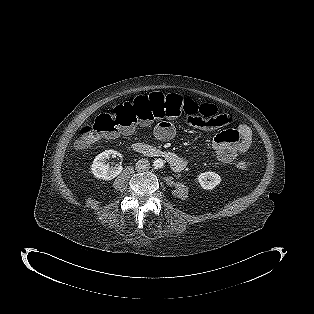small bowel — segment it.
<instances>
[{
    "label": "small bowel",
    "instance_id": "1",
    "mask_svg": "<svg viewBox=\"0 0 314 314\" xmlns=\"http://www.w3.org/2000/svg\"><path fill=\"white\" fill-rule=\"evenodd\" d=\"M192 124L201 130L223 129L213 140V150L223 163H232L235 158L246 154L251 148L250 128L245 124L234 126L235 118L230 113H217L216 111L211 118L193 119ZM129 132H125V134ZM153 133L159 140H169L175 136L176 128L170 120H163L154 127Z\"/></svg>",
    "mask_w": 314,
    "mask_h": 314
}]
</instances>
